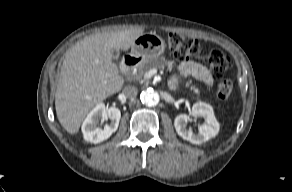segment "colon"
<instances>
[{"label": "colon", "mask_w": 292, "mask_h": 192, "mask_svg": "<svg viewBox=\"0 0 292 192\" xmlns=\"http://www.w3.org/2000/svg\"><path fill=\"white\" fill-rule=\"evenodd\" d=\"M165 41L173 56L181 62L189 61L191 58L203 59L212 75L218 78L216 86L218 98L226 100L230 97L234 88L233 81L222 76L231 68V59L222 48L214 47L205 52L196 39L178 33H169Z\"/></svg>", "instance_id": "1"}]
</instances>
